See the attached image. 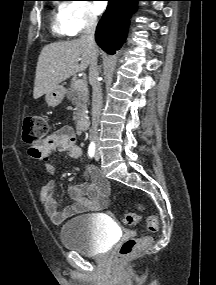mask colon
I'll return each mask as SVG.
<instances>
[{
	"label": "colon",
	"mask_w": 216,
	"mask_h": 285,
	"mask_svg": "<svg viewBox=\"0 0 216 285\" xmlns=\"http://www.w3.org/2000/svg\"><path fill=\"white\" fill-rule=\"evenodd\" d=\"M49 130L48 122L42 115H28L25 117L22 126V138L28 146L29 154L36 157L40 153L41 140L47 135ZM139 210L145 211V207L136 203ZM139 217L136 213L125 214L124 223L128 227H133L138 223ZM158 229V219L155 215L147 216V232L154 233ZM152 242L150 235L139 238L125 240L119 248L116 261L121 263L133 254L147 248Z\"/></svg>",
	"instance_id": "5ec220e1"
}]
</instances>
